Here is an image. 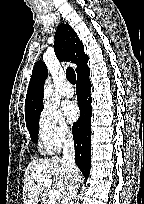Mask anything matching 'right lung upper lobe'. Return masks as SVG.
Listing matches in <instances>:
<instances>
[{
	"label": "right lung upper lobe",
	"instance_id": "cb5924a9",
	"mask_svg": "<svg viewBox=\"0 0 144 204\" xmlns=\"http://www.w3.org/2000/svg\"><path fill=\"white\" fill-rule=\"evenodd\" d=\"M54 50L60 61H71L77 65L76 73L87 68L88 56L77 34L67 23L60 24L55 33ZM48 70L43 61H38L32 71L25 100V119L43 108V84Z\"/></svg>",
	"mask_w": 144,
	"mask_h": 204
}]
</instances>
